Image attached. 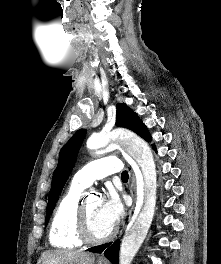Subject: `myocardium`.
Listing matches in <instances>:
<instances>
[{
  "label": "myocardium",
  "mask_w": 221,
  "mask_h": 264,
  "mask_svg": "<svg viewBox=\"0 0 221 264\" xmlns=\"http://www.w3.org/2000/svg\"><path fill=\"white\" fill-rule=\"evenodd\" d=\"M86 197H83L76 210L75 228L78 238L86 244H102L109 241L115 234V228L113 227L108 234L103 237H94L89 228L87 211H86Z\"/></svg>",
  "instance_id": "f54148a6"
}]
</instances>
